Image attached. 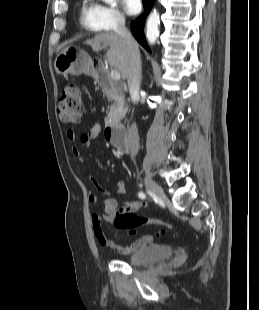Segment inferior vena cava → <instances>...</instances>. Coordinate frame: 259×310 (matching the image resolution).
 <instances>
[{
	"label": "inferior vena cava",
	"mask_w": 259,
	"mask_h": 310,
	"mask_svg": "<svg viewBox=\"0 0 259 310\" xmlns=\"http://www.w3.org/2000/svg\"><path fill=\"white\" fill-rule=\"evenodd\" d=\"M115 32L121 37L123 43L126 45L129 52V73H128V87L129 93L133 103L139 97V90L141 85V59L138 45L133 39L131 33L125 27V20L119 19L115 26ZM129 136L135 153L139 149V136L135 123H133L129 130Z\"/></svg>",
	"instance_id": "1"
}]
</instances>
